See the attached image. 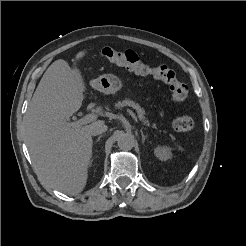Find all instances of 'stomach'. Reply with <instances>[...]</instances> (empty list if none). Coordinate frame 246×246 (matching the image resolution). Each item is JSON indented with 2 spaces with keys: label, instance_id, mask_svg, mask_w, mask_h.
I'll return each instance as SVG.
<instances>
[{
  "label": "stomach",
  "instance_id": "obj_1",
  "mask_svg": "<svg viewBox=\"0 0 246 246\" xmlns=\"http://www.w3.org/2000/svg\"><path fill=\"white\" fill-rule=\"evenodd\" d=\"M90 85L95 90L105 94H114L123 87L122 80L114 74H103L96 79L90 81Z\"/></svg>",
  "mask_w": 246,
  "mask_h": 246
}]
</instances>
